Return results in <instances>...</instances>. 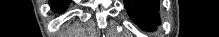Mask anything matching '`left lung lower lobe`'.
<instances>
[{"mask_svg": "<svg viewBox=\"0 0 219 37\" xmlns=\"http://www.w3.org/2000/svg\"><path fill=\"white\" fill-rule=\"evenodd\" d=\"M130 18L144 30H156L160 24L159 0H124Z\"/></svg>", "mask_w": 219, "mask_h": 37, "instance_id": "obj_1", "label": "left lung lower lobe"}]
</instances>
